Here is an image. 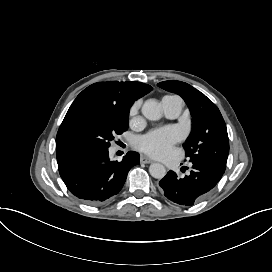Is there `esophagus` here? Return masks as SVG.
Masks as SVG:
<instances>
[{"instance_id": "esophagus-1", "label": "esophagus", "mask_w": 272, "mask_h": 272, "mask_svg": "<svg viewBox=\"0 0 272 272\" xmlns=\"http://www.w3.org/2000/svg\"><path fill=\"white\" fill-rule=\"evenodd\" d=\"M153 161L149 158V157H147V156H144V155H141L140 156V163H152Z\"/></svg>"}]
</instances>
